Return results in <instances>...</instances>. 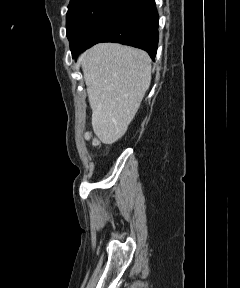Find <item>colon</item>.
Here are the masks:
<instances>
[{
	"mask_svg": "<svg viewBox=\"0 0 240 288\" xmlns=\"http://www.w3.org/2000/svg\"><path fill=\"white\" fill-rule=\"evenodd\" d=\"M93 143H94V144H97V141H96V140H93Z\"/></svg>",
	"mask_w": 240,
	"mask_h": 288,
	"instance_id": "obj_1",
	"label": "colon"
}]
</instances>
